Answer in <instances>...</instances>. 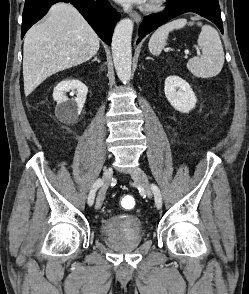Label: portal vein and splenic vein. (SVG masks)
Here are the masks:
<instances>
[{
	"label": "portal vein and splenic vein",
	"mask_w": 249,
	"mask_h": 294,
	"mask_svg": "<svg viewBox=\"0 0 249 294\" xmlns=\"http://www.w3.org/2000/svg\"><path fill=\"white\" fill-rule=\"evenodd\" d=\"M188 53H189V51H188V50H186V51H185V54L187 55Z\"/></svg>",
	"instance_id": "1"
}]
</instances>
